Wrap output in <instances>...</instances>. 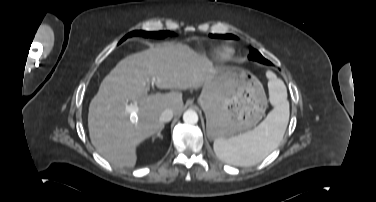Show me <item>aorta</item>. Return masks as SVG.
Segmentation results:
<instances>
[{
	"instance_id": "obj_1",
	"label": "aorta",
	"mask_w": 376,
	"mask_h": 202,
	"mask_svg": "<svg viewBox=\"0 0 376 202\" xmlns=\"http://www.w3.org/2000/svg\"><path fill=\"white\" fill-rule=\"evenodd\" d=\"M198 119V114L194 110H187L183 114V121L188 125L196 124Z\"/></svg>"
}]
</instances>
